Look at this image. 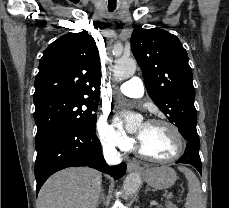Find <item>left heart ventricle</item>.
Segmentation results:
<instances>
[{
  "mask_svg": "<svg viewBox=\"0 0 229 208\" xmlns=\"http://www.w3.org/2000/svg\"><path fill=\"white\" fill-rule=\"evenodd\" d=\"M170 130L173 129L162 124L146 123L138 127L139 138L144 143L145 151L150 152V157L167 160L181 150L183 141L181 147H176L175 143H172Z\"/></svg>",
  "mask_w": 229,
  "mask_h": 208,
  "instance_id": "obj_1",
  "label": "left heart ventricle"
}]
</instances>
